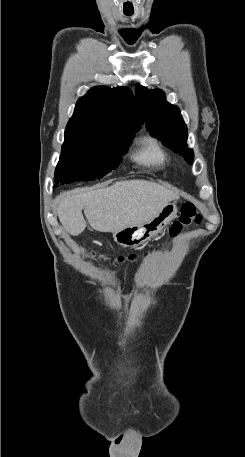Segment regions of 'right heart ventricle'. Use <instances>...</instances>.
I'll return each mask as SVG.
<instances>
[{"instance_id":"e07e8e85","label":"right heart ventricle","mask_w":245,"mask_h":457,"mask_svg":"<svg viewBox=\"0 0 245 457\" xmlns=\"http://www.w3.org/2000/svg\"><path fill=\"white\" fill-rule=\"evenodd\" d=\"M142 145L140 157L143 161L151 164H160L164 161L165 155L157 140L144 137L142 138Z\"/></svg>"}]
</instances>
